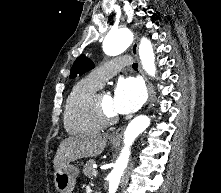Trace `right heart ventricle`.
Listing matches in <instances>:
<instances>
[{
  "label": "right heart ventricle",
  "mask_w": 221,
  "mask_h": 193,
  "mask_svg": "<svg viewBox=\"0 0 221 193\" xmlns=\"http://www.w3.org/2000/svg\"><path fill=\"white\" fill-rule=\"evenodd\" d=\"M100 87L90 76L78 80L72 86L64 106V126L69 134H90L104 127L88 105L90 97Z\"/></svg>",
  "instance_id": "obj_1"
}]
</instances>
